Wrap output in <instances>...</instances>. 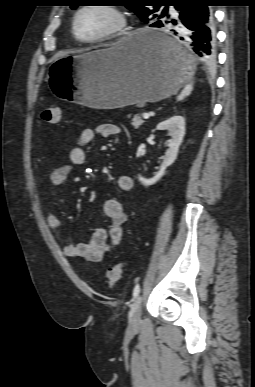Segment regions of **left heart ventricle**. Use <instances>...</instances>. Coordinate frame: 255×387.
<instances>
[{
	"label": "left heart ventricle",
	"instance_id": "obj_1",
	"mask_svg": "<svg viewBox=\"0 0 255 387\" xmlns=\"http://www.w3.org/2000/svg\"><path fill=\"white\" fill-rule=\"evenodd\" d=\"M115 24L114 16L103 10L89 9L78 18L77 30L83 38H93L103 34Z\"/></svg>",
	"mask_w": 255,
	"mask_h": 387
}]
</instances>
